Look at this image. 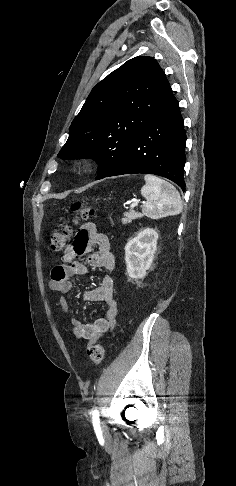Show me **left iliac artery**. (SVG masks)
<instances>
[{"instance_id": "left-iliac-artery-1", "label": "left iliac artery", "mask_w": 236, "mask_h": 486, "mask_svg": "<svg viewBox=\"0 0 236 486\" xmlns=\"http://www.w3.org/2000/svg\"><path fill=\"white\" fill-rule=\"evenodd\" d=\"M92 420H93V426L96 432H99L101 430L100 428V421H99V414L97 410H94L92 413Z\"/></svg>"}]
</instances>
